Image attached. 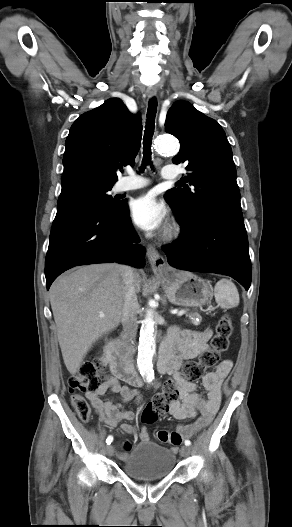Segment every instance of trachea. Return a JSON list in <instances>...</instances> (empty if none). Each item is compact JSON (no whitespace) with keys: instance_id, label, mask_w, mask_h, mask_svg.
I'll return each mask as SVG.
<instances>
[{"instance_id":"trachea-1","label":"trachea","mask_w":292,"mask_h":527,"mask_svg":"<svg viewBox=\"0 0 292 527\" xmlns=\"http://www.w3.org/2000/svg\"><path fill=\"white\" fill-rule=\"evenodd\" d=\"M157 112V101L155 98H152L149 101L147 119L145 125V133L143 137V161L140 167V171L143 172L145 167L151 163V144L152 137L154 134L155 127V117ZM152 167V163H151Z\"/></svg>"}]
</instances>
